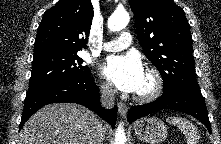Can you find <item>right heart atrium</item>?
Here are the masks:
<instances>
[{"label":"right heart atrium","instance_id":"obj_1","mask_svg":"<svg viewBox=\"0 0 221 144\" xmlns=\"http://www.w3.org/2000/svg\"><path fill=\"white\" fill-rule=\"evenodd\" d=\"M100 90H101L102 94H104L106 96H110L113 93V88L109 83H102L100 85Z\"/></svg>","mask_w":221,"mask_h":144}]
</instances>
